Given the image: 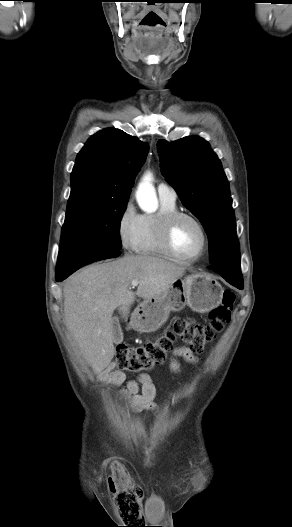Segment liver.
<instances>
[{
	"instance_id": "1",
	"label": "liver",
	"mask_w": 292,
	"mask_h": 527,
	"mask_svg": "<svg viewBox=\"0 0 292 527\" xmlns=\"http://www.w3.org/2000/svg\"><path fill=\"white\" fill-rule=\"evenodd\" d=\"M186 268L146 255H125L89 265L70 276L63 288L65 324L86 362L102 372L114 357L112 315L126 317L135 296L144 300L166 293ZM138 280L137 291L131 282Z\"/></svg>"
}]
</instances>
